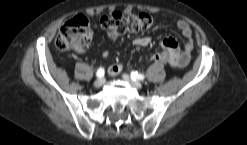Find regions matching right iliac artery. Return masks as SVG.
I'll list each match as a JSON object with an SVG mask.
<instances>
[{
  "instance_id": "right-iliac-artery-1",
  "label": "right iliac artery",
  "mask_w": 247,
  "mask_h": 145,
  "mask_svg": "<svg viewBox=\"0 0 247 145\" xmlns=\"http://www.w3.org/2000/svg\"><path fill=\"white\" fill-rule=\"evenodd\" d=\"M104 74H105L104 68H99V69L97 70V72H96V76H97L98 78L103 77Z\"/></svg>"
}]
</instances>
